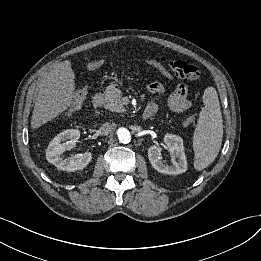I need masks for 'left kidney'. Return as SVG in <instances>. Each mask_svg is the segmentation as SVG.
Listing matches in <instances>:
<instances>
[{"label": "left kidney", "mask_w": 261, "mask_h": 261, "mask_svg": "<svg viewBox=\"0 0 261 261\" xmlns=\"http://www.w3.org/2000/svg\"><path fill=\"white\" fill-rule=\"evenodd\" d=\"M166 148L170 152L172 165L164 164L161 157V147L153 145L148 149V158L155 170L168 175L181 174L187 170V160L184 153L183 139L174 134L164 137Z\"/></svg>", "instance_id": "1"}]
</instances>
